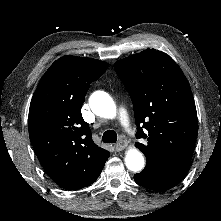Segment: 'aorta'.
<instances>
[{"mask_svg": "<svg viewBox=\"0 0 221 221\" xmlns=\"http://www.w3.org/2000/svg\"><path fill=\"white\" fill-rule=\"evenodd\" d=\"M89 105L97 116L112 119L116 116V105L111 96L104 91H96L89 98ZM126 167L139 172L144 168L145 161L142 153L137 149H130L125 156Z\"/></svg>", "mask_w": 221, "mask_h": 221, "instance_id": "aorta-1", "label": "aorta"}]
</instances>
